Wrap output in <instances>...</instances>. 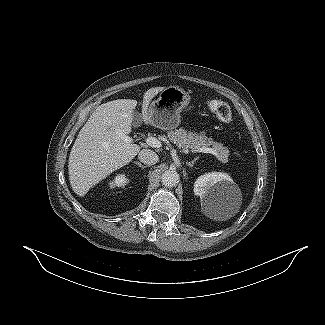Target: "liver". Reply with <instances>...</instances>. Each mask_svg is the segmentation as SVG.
Wrapping results in <instances>:
<instances>
[{
    "instance_id": "liver-1",
    "label": "liver",
    "mask_w": 325,
    "mask_h": 325,
    "mask_svg": "<svg viewBox=\"0 0 325 325\" xmlns=\"http://www.w3.org/2000/svg\"><path fill=\"white\" fill-rule=\"evenodd\" d=\"M164 87H154L143 95L142 118L151 124L149 103ZM136 100L117 99L98 106L80 130L69 155L68 173L72 190L84 196L95 184L128 164L140 146L127 143L122 135L131 132Z\"/></svg>"
}]
</instances>
